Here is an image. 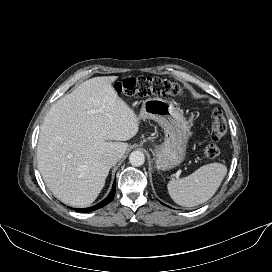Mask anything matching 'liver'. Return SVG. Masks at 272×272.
<instances>
[{
  "label": "liver",
  "instance_id": "6515ba94",
  "mask_svg": "<svg viewBox=\"0 0 272 272\" xmlns=\"http://www.w3.org/2000/svg\"><path fill=\"white\" fill-rule=\"evenodd\" d=\"M117 76L94 77L50 108L40 130L37 159L46 186L63 203L87 207L104 187L107 152L122 158L138 118L117 94ZM114 141V142H109Z\"/></svg>",
  "mask_w": 272,
  "mask_h": 272
}]
</instances>
